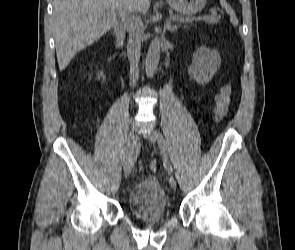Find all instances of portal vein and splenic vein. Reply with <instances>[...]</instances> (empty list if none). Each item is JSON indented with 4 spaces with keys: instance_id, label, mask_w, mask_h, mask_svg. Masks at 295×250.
Here are the masks:
<instances>
[{
    "instance_id": "18ae733b",
    "label": "portal vein and splenic vein",
    "mask_w": 295,
    "mask_h": 250,
    "mask_svg": "<svg viewBox=\"0 0 295 250\" xmlns=\"http://www.w3.org/2000/svg\"><path fill=\"white\" fill-rule=\"evenodd\" d=\"M112 11H114V10H112ZM170 19H172V20H178V17H176V16H171ZM181 21H183V22H189L188 19H187V20H181Z\"/></svg>"
}]
</instances>
